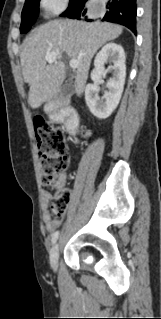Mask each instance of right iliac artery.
<instances>
[{
  "mask_svg": "<svg viewBox=\"0 0 161 319\" xmlns=\"http://www.w3.org/2000/svg\"><path fill=\"white\" fill-rule=\"evenodd\" d=\"M59 231H56L52 234V243L54 244L58 239Z\"/></svg>",
  "mask_w": 161,
  "mask_h": 319,
  "instance_id": "obj_1",
  "label": "right iliac artery"
}]
</instances>
